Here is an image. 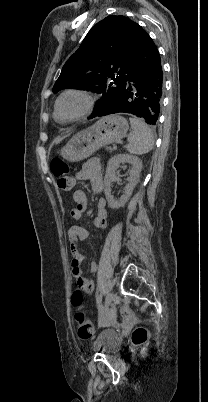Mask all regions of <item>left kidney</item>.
<instances>
[{"instance_id": "1", "label": "left kidney", "mask_w": 208, "mask_h": 402, "mask_svg": "<svg viewBox=\"0 0 208 402\" xmlns=\"http://www.w3.org/2000/svg\"><path fill=\"white\" fill-rule=\"evenodd\" d=\"M120 164H131V172L128 178L129 184L125 186V194L121 196L120 200H114L111 194V184L114 180H119L115 174V170L119 168ZM142 170V160L137 156H131V154H116L107 164L106 176L104 178V192L106 200L109 204V208H123L126 202H128L132 192L139 182L140 172Z\"/></svg>"}]
</instances>
